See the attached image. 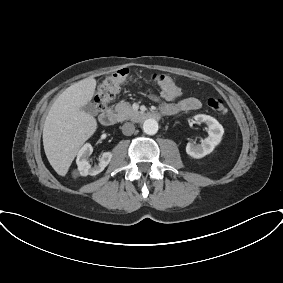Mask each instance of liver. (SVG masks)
Masks as SVG:
<instances>
[{
	"label": "liver",
	"instance_id": "6515ba94",
	"mask_svg": "<svg viewBox=\"0 0 283 283\" xmlns=\"http://www.w3.org/2000/svg\"><path fill=\"white\" fill-rule=\"evenodd\" d=\"M96 80L88 77L68 87L53 103L43 127L46 157L65 176L80 147L95 133L96 119L82 110L95 93Z\"/></svg>",
	"mask_w": 283,
	"mask_h": 283
}]
</instances>
